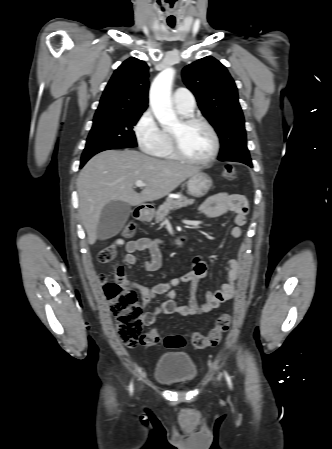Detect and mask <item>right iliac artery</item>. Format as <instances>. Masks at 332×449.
<instances>
[{"mask_svg": "<svg viewBox=\"0 0 332 449\" xmlns=\"http://www.w3.org/2000/svg\"><path fill=\"white\" fill-rule=\"evenodd\" d=\"M132 391H133V384L131 383L130 384V392L132 393Z\"/></svg>", "mask_w": 332, "mask_h": 449, "instance_id": "right-iliac-artery-1", "label": "right iliac artery"}]
</instances>
